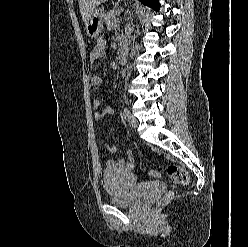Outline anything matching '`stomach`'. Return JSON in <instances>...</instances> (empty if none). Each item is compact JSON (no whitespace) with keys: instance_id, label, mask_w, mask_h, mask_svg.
I'll list each match as a JSON object with an SVG mask.
<instances>
[{"instance_id":"stomach-1","label":"stomach","mask_w":248,"mask_h":247,"mask_svg":"<svg viewBox=\"0 0 248 247\" xmlns=\"http://www.w3.org/2000/svg\"><path fill=\"white\" fill-rule=\"evenodd\" d=\"M103 23L104 13L102 10H97L91 14L85 23L87 35L91 38H96L103 29Z\"/></svg>"}]
</instances>
